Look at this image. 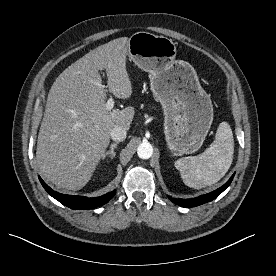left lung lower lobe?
Listing matches in <instances>:
<instances>
[{"label": "left lung lower lobe", "mask_w": 276, "mask_h": 276, "mask_svg": "<svg viewBox=\"0 0 276 276\" xmlns=\"http://www.w3.org/2000/svg\"><path fill=\"white\" fill-rule=\"evenodd\" d=\"M234 175L235 174H233L231 178L223 186L206 195H202L200 197L193 198V199H174L171 196H168V197L173 203L181 207H186V208L196 207L204 203L210 202L214 200L216 197H218L231 184Z\"/></svg>", "instance_id": "obj_1"}]
</instances>
